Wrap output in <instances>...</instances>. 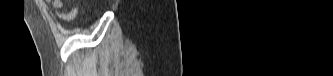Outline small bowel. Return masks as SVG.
<instances>
[{"mask_svg":"<svg viewBox=\"0 0 333 76\" xmlns=\"http://www.w3.org/2000/svg\"><path fill=\"white\" fill-rule=\"evenodd\" d=\"M49 4H51L53 6L54 9H61L63 4L62 1L60 0H51V1H47ZM86 9L81 3H74L73 8L67 12H57L54 11L55 15L57 16V18L63 22H71L75 19V17L78 14L79 9Z\"/></svg>","mask_w":333,"mask_h":76,"instance_id":"small-bowel-1","label":"small bowel"}]
</instances>
